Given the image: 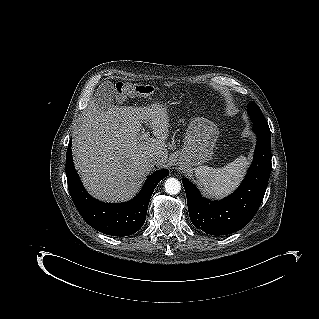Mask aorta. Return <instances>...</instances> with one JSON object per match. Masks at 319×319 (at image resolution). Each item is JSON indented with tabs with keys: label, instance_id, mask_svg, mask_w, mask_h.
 I'll return each instance as SVG.
<instances>
[{
	"label": "aorta",
	"instance_id": "762f6f07",
	"mask_svg": "<svg viewBox=\"0 0 319 319\" xmlns=\"http://www.w3.org/2000/svg\"><path fill=\"white\" fill-rule=\"evenodd\" d=\"M165 191L166 193L170 195H176L180 192L181 190V184L178 179L176 178H168L165 181Z\"/></svg>",
	"mask_w": 319,
	"mask_h": 319
}]
</instances>
